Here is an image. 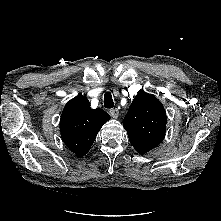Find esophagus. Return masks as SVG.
<instances>
[{
    "label": "esophagus",
    "mask_w": 221,
    "mask_h": 221,
    "mask_svg": "<svg viewBox=\"0 0 221 221\" xmlns=\"http://www.w3.org/2000/svg\"><path fill=\"white\" fill-rule=\"evenodd\" d=\"M110 115H111L114 119H116V118L118 117V115H119V111H118L117 109H112V110H110Z\"/></svg>",
    "instance_id": "34e87169"
}]
</instances>
